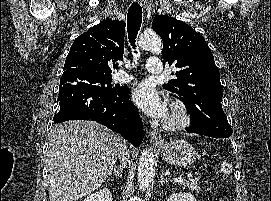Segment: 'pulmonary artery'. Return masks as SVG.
I'll list each match as a JSON object with an SVG mask.
<instances>
[{"label":"pulmonary artery","mask_w":271,"mask_h":201,"mask_svg":"<svg viewBox=\"0 0 271 201\" xmlns=\"http://www.w3.org/2000/svg\"><path fill=\"white\" fill-rule=\"evenodd\" d=\"M126 67H129V65H125ZM163 69V64L160 58L158 57H150L147 63V71L151 74H160ZM134 79V76L131 74H128L124 70L119 71L114 76V80L118 83H126L130 82Z\"/></svg>","instance_id":"1"}]
</instances>
